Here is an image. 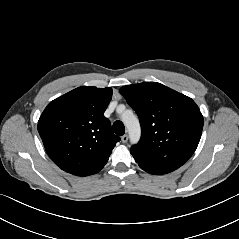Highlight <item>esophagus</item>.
Segmentation results:
<instances>
[{"mask_svg": "<svg viewBox=\"0 0 239 239\" xmlns=\"http://www.w3.org/2000/svg\"><path fill=\"white\" fill-rule=\"evenodd\" d=\"M128 135L127 134H125V135H123L122 137H121V141L123 142V143H126L127 141H128Z\"/></svg>", "mask_w": 239, "mask_h": 239, "instance_id": "34e87169", "label": "esophagus"}]
</instances>
